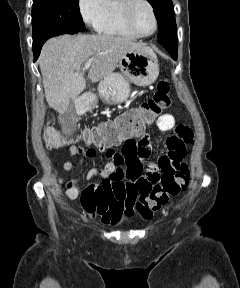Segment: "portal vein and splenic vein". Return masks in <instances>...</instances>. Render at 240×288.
<instances>
[{
	"mask_svg": "<svg viewBox=\"0 0 240 288\" xmlns=\"http://www.w3.org/2000/svg\"><path fill=\"white\" fill-rule=\"evenodd\" d=\"M91 64H92V60L87 61V62L84 64L83 70H88V69L90 68Z\"/></svg>",
	"mask_w": 240,
	"mask_h": 288,
	"instance_id": "18ae733b",
	"label": "portal vein and splenic vein"
}]
</instances>
